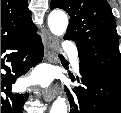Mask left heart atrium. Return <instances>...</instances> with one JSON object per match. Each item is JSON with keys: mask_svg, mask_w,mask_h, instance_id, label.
I'll return each instance as SVG.
<instances>
[{"mask_svg": "<svg viewBox=\"0 0 121 113\" xmlns=\"http://www.w3.org/2000/svg\"><path fill=\"white\" fill-rule=\"evenodd\" d=\"M47 79H48V75L47 74L43 75V80H47Z\"/></svg>", "mask_w": 121, "mask_h": 113, "instance_id": "39dd6f15", "label": "left heart atrium"}]
</instances>
